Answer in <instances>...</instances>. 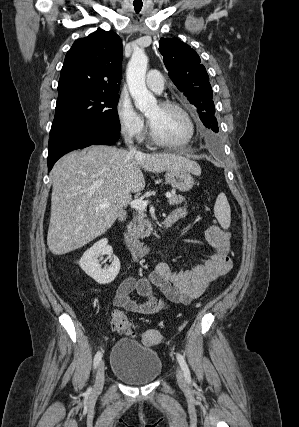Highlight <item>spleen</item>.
<instances>
[{
  "instance_id": "spleen-1",
  "label": "spleen",
  "mask_w": 299,
  "mask_h": 427,
  "mask_svg": "<svg viewBox=\"0 0 299 427\" xmlns=\"http://www.w3.org/2000/svg\"><path fill=\"white\" fill-rule=\"evenodd\" d=\"M214 213L220 226L227 230L231 223V210L224 193L218 195L214 206Z\"/></svg>"
}]
</instances>
